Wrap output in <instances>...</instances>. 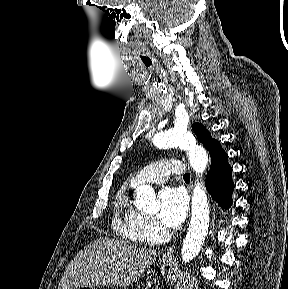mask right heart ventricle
<instances>
[{
	"label": "right heart ventricle",
	"mask_w": 288,
	"mask_h": 289,
	"mask_svg": "<svg viewBox=\"0 0 288 289\" xmlns=\"http://www.w3.org/2000/svg\"><path fill=\"white\" fill-rule=\"evenodd\" d=\"M134 186L130 184L129 188H121L116 193L112 227L120 238L134 243H144L147 240L140 231L143 214L133 205L130 196V188Z\"/></svg>",
	"instance_id": "obj_1"
}]
</instances>
